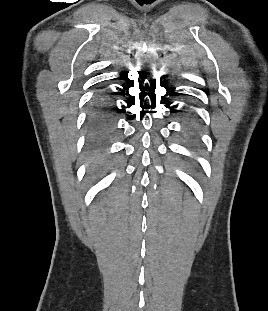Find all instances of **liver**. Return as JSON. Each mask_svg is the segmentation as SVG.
Returning <instances> with one entry per match:
<instances>
[{"mask_svg": "<svg viewBox=\"0 0 268 311\" xmlns=\"http://www.w3.org/2000/svg\"><path fill=\"white\" fill-rule=\"evenodd\" d=\"M103 160L100 157H95L90 160L89 167L92 171L98 169L99 165L102 164Z\"/></svg>", "mask_w": 268, "mask_h": 311, "instance_id": "obj_1", "label": "liver"}]
</instances>
